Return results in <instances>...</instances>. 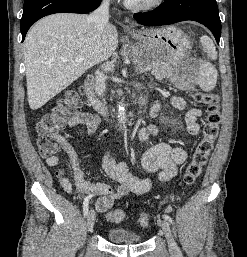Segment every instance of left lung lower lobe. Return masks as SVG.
I'll return each mask as SVG.
<instances>
[{"mask_svg":"<svg viewBox=\"0 0 247 257\" xmlns=\"http://www.w3.org/2000/svg\"><path fill=\"white\" fill-rule=\"evenodd\" d=\"M134 19L146 26L193 20L210 29L218 44L221 36V21L215 0H165V3L155 10L135 13Z\"/></svg>","mask_w":247,"mask_h":257,"instance_id":"left-lung-lower-lobe-1","label":"left lung lower lobe"}]
</instances>
